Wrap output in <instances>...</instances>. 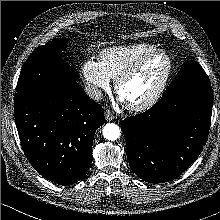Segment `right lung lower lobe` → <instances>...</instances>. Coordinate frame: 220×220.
Segmentation results:
<instances>
[{
  "instance_id": "obj_1",
  "label": "right lung lower lobe",
  "mask_w": 220,
  "mask_h": 220,
  "mask_svg": "<svg viewBox=\"0 0 220 220\" xmlns=\"http://www.w3.org/2000/svg\"><path fill=\"white\" fill-rule=\"evenodd\" d=\"M14 100L21 145L34 169L60 185L79 181L91 165L103 108L76 81L17 92Z\"/></svg>"
}]
</instances>
